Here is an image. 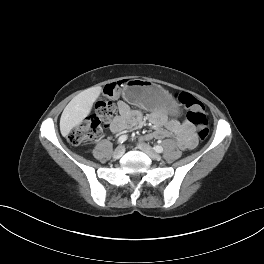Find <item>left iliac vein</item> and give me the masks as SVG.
I'll use <instances>...</instances> for the list:
<instances>
[{"instance_id": "obj_1", "label": "left iliac vein", "mask_w": 264, "mask_h": 264, "mask_svg": "<svg viewBox=\"0 0 264 264\" xmlns=\"http://www.w3.org/2000/svg\"><path fill=\"white\" fill-rule=\"evenodd\" d=\"M138 148L143 151L144 153H146L151 159L153 160H160L161 157L160 155H158L151 146H149L146 143H139L138 144Z\"/></svg>"}]
</instances>
